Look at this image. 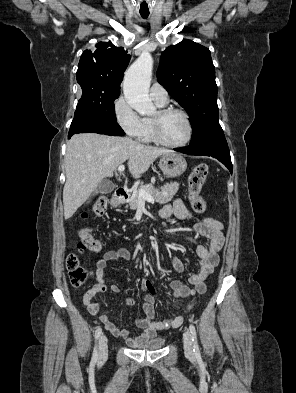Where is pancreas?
Segmentation results:
<instances>
[{"label": "pancreas", "instance_id": "1", "mask_svg": "<svg viewBox=\"0 0 296 393\" xmlns=\"http://www.w3.org/2000/svg\"><path fill=\"white\" fill-rule=\"evenodd\" d=\"M179 188V183L171 182L166 183L165 185L160 187V190L154 188V186L149 184H143L138 189H135L128 200L129 206L131 210H135L140 202L139 192L140 190H145L148 194H150L156 202L159 204H165L172 200L174 195L177 193Z\"/></svg>", "mask_w": 296, "mask_h": 393}]
</instances>
